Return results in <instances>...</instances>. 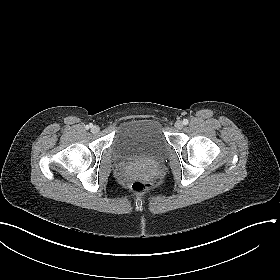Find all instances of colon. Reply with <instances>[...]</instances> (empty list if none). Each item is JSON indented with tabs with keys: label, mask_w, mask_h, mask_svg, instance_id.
<instances>
[{
	"label": "colon",
	"mask_w": 280,
	"mask_h": 280,
	"mask_svg": "<svg viewBox=\"0 0 280 280\" xmlns=\"http://www.w3.org/2000/svg\"><path fill=\"white\" fill-rule=\"evenodd\" d=\"M130 189L135 194H144L152 189V185L142 177H136L130 184Z\"/></svg>",
	"instance_id": "1"
}]
</instances>
